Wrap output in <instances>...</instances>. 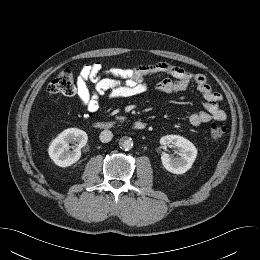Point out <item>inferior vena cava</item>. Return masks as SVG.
<instances>
[{
	"label": "inferior vena cava",
	"mask_w": 260,
	"mask_h": 260,
	"mask_svg": "<svg viewBox=\"0 0 260 260\" xmlns=\"http://www.w3.org/2000/svg\"><path fill=\"white\" fill-rule=\"evenodd\" d=\"M112 137H113V134L110 130L102 131L99 136L101 142H103V143H107V142L111 141Z\"/></svg>",
	"instance_id": "1"
}]
</instances>
